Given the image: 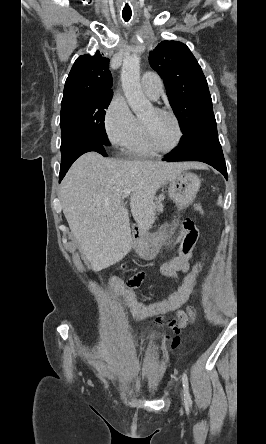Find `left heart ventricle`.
Here are the masks:
<instances>
[{"mask_svg": "<svg viewBox=\"0 0 266 444\" xmlns=\"http://www.w3.org/2000/svg\"><path fill=\"white\" fill-rule=\"evenodd\" d=\"M141 120L146 124L151 139L161 149L170 148L177 138V128L174 120L167 115L148 111Z\"/></svg>", "mask_w": 266, "mask_h": 444, "instance_id": "left-heart-ventricle-1", "label": "left heart ventricle"}]
</instances>
